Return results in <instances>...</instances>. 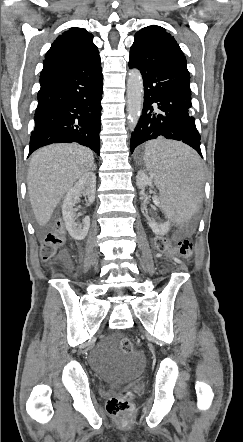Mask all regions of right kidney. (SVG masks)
Returning <instances> with one entry per match:
<instances>
[{
    "mask_svg": "<svg viewBox=\"0 0 243 442\" xmlns=\"http://www.w3.org/2000/svg\"><path fill=\"white\" fill-rule=\"evenodd\" d=\"M96 191V176L88 172L72 187L64 197L62 214L64 223L70 236L75 240H83L90 228V217L85 216L82 222H76V218L82 214H76L75 204L79 201V196L83 193L87 197L88 205L94 202Z\"/></svg>",
    "mask_w": 243,
    "mask_h": 442,
    "instance_id": "ca27d5eb",
    "label": "right kidney"
}]
</instances>
